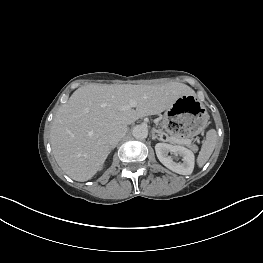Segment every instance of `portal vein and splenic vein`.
Masks as SVG:
<instances>
[{
    "label": "portal vein and splenic vein",
    "instance_id": "18ae733b",
    "mask_svg": "<svg viewBox=\"0 0 263 263\" xmlns=\"http://www.w3.org/2000/svg\"><path fill=\"white\" fill-rule=\"evenodd\" d=\"M136 105H137L136 102L133 101V100H131L127 105H124V106H123V110L131 109V108H133V107H136ZM171 139L175 140V138H173V137H172ZM177 141H179V142H181V143H186V144L192 143V141L189 140V139H186V140H178V139H177Z\"/></svg>",
    "mask_w": 263,
    "mask_h": 263
}]
</instances>
